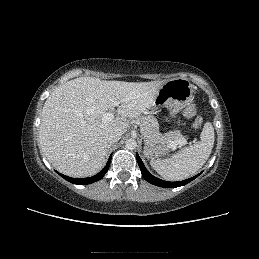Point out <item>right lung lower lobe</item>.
I'll return each instance as SVG.
<instances>
[{
    "instance_id": "98d812e1",
    "label": "right lung lower lobe",
    "mask_w": 259,
    "mask_h": 259,
    "mask_svg": "<svg viewBox=\"0 0 259 259\" xmlns=\"http://www.w3.org/2000/svg\"><path fill=\"white\" fill-rule=\"evenodd\" d=\"M112 156V155H111ZM111 156L109 157V160L106 164V166L103 168V170H101L98 174L92 176V177H88V178H82V179H76V178H71L68 176H65L63 174L58 173L61 177H63L64 179H66L67 181L77 184V185H87L93 182H96L98 180H100L101 178H103V176L106 174V172L108 171L109 167H110V163H111Z\"/></svg>"
}]
</instances>
